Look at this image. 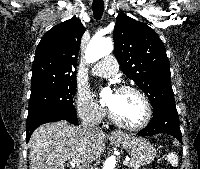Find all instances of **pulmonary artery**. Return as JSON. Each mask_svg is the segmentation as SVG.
<instances>
[{
  "mask_svg": "<svg viewBox=\"0 0 200 169\" xmlns=\"http://www.w3.org/2000/svg\"><path fill=\"white\" fill-rule=\"evenodd\" d=\"M118 71V62L112 55L101 59L93 68V74L99 77H113Z\"/></svg>",
  "mask_w": 200,
  "mask_h": 169,
  "instance_id": "pulmonary-artery-1",
  "label": "pulmonary artery"
}]
</instances>
